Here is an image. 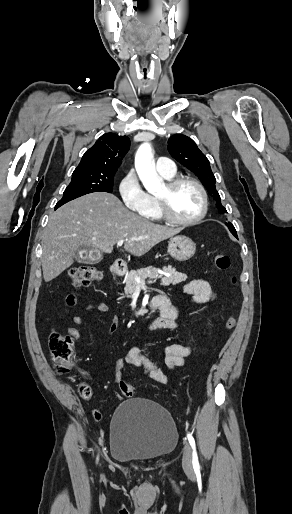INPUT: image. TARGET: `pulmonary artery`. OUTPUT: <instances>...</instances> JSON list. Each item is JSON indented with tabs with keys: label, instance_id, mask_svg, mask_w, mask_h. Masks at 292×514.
Returning a JSON list of instances; mask_svg holds the SVG:
<instances>
[{
	"label": "pulmonary artery",
	"instance_id": "pulmonary-artery-1",
	"mask_svg": "<svg viewBox=\"0 0 292 514\" xmlns=\"http://www.w3.org/2000/svg\"><path fill=\"white\" fill-rule=\"evenodd\" d=\"M158 172L160 175L171 178L176 175V167L171 156H161L159 158Z\"/></svg>",
	"mask_w": 292,
	"mask_h": 514
}]
</instances>
